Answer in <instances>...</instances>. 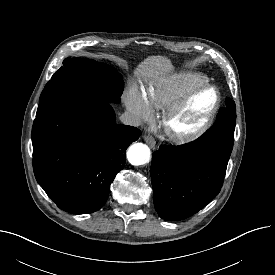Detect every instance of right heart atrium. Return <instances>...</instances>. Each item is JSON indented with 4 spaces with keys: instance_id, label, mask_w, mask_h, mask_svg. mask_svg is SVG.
Segmentation results:
<instances>
[{
    "instance_id": "d8ad5b80",
    "label": "right heart atrium",
    "mask_w": 275,
    "mask_h": 275,
    "mask_svg": "<svg viewBox=\"0 0 275 275\" xmlns=\"http://www.w3.org/2000/svg\"><path fill=\"white\" fill-rule=\"evenodd\" d=\"M128 111L138 120H146L151 116L145 97L135 88H132L125 97Z\"/></svg>"
}]
</instances>
